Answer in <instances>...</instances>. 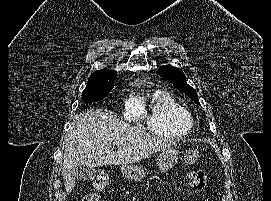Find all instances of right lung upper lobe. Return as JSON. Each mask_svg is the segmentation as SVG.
I'll use <instances>...</instances> for the list:
<instances>
[{"label":"right lung upper lobe","mask_w":271,"mask_h":201,"mask_svg":"<svg viewBox=\"0 0 271 201\" xmlns=\"http://www.w3.org/2000/svg\"><path fill=\"white\" fill-rule=\"evenodd\" d=\"M114 75H117V74L113 70L101 69V70H98V71H95L94 73H92L90 75L89 79L96 78V77L114 76Z\"/></svg>","instance_id":"obj_1"}]
</instances>
